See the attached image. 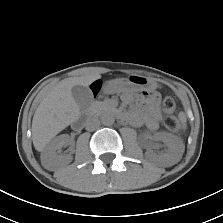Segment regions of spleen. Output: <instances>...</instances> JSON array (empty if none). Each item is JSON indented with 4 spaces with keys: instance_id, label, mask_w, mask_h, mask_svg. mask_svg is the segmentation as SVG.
Returning <instances> with one entry per match:
<instances>
[{
    "instance_id": "1",
    "label": "spleen",
    "mask_w": 223,
    "mask_h": 223,
    "mask_svg": "<svg viewBox=\"0 0 223 223\" xmlns=\"http://www.w3.org/2000/svg\"><path fill=\"white\" fill-rule=\"evenodd\" d=\"M181 119H182L183 121H185V117H184V115H181Z\"/></svg>"
}]
</instances>
